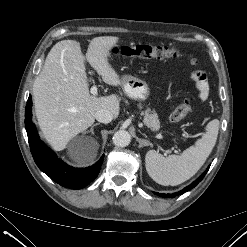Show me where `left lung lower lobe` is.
Listing matches in <instances>:
<instances>
[{"label": "left lung lower lobe", "mask_w": 247, "mask_h": 247, "mask_svg": "<svg viewBox=\"0 0 247 247\" xmlns=\"http://www.w3.org/2000/svg\"><path fill=\"white\" fill-rule=\"evenodd\" d=\"M208 169H209V167L207 168V170L197 180H195L190 185H188L183 190H181V191H179L177 193H174V194H163V193H156L155 192V194H157L158 196L164 197V198H166V197H171L172 198V197L181 195V194H183L186 191H190L192 188L196 187L198 185V183L204 178V176L206 175Z\"/></svg>", "instance_id": "obj_1"}]
</instances>
